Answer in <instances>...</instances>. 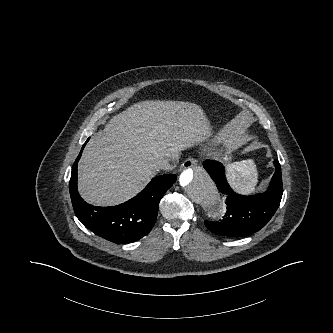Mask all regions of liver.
Masks as SVG:
<instances>
[{
    "label": "liver",
    "instance_id": "1",
    "mask_svg": "<svg viewBox=\"0 0 333 333\" xmlns=\"http://www.w3.org/2000/svg\"><path fill=\"white\" fill-rule=\"evenodd\" d=\"M210 132V121L196 104L136 103L112 117L86 145L78 164L79 193L96 206L121 204L146 186L157 162L178 158Z\"/></svg>",
    "mask_w": 333,
    "mask_h": 333
}]
</instances>
